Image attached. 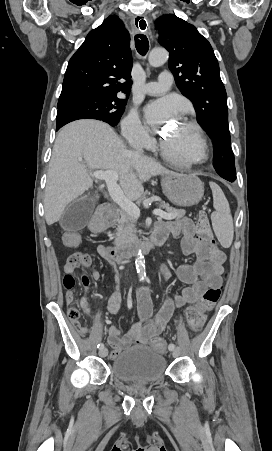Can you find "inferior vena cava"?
I'll return each mask as SVG.
<instances>
[{"label": "inferior vena cava", "instance_id": "602c4592", "mask_svg": "<svg viewBox=\"0 0 272 451\" xmlns=\"http://www.w3.org/2000/svg\"><path fill=\"white\" fill-rule=\"evenodd\" d=\"M142 152H143V150H142L141 144H137L135 154H137V156H140V154H142Z\"/></svg>", "mask_w": 272, "mask_h": 451}]
</instances>
